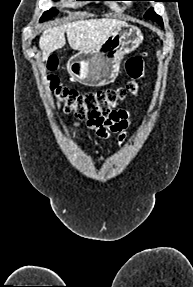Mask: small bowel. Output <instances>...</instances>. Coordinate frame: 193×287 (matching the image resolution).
<instances>
[{
  "mask_svg": "<svg viewBox=\"0 0 193 287\" xmlns=\"http://www.w3.org/2000/svg\"><path fill=\"white\" fill-rule=\"evenodd\" d=\"M70 122L76 126H80V121L71 119ZM89 129L92 131L93 137L89 140L95 148V152H100L99 139L109 138L116 134L118 141L121 143L126 137L127 130L130 126L128 120V112L124 109L114 110L109 116L99 120H88Z\"/></svg>",
  "mask_w": 193,
  "mask_h": 287,
  "instance_id": "small-bowel-1",
  "label": "small bowel"
}]
</instances>
